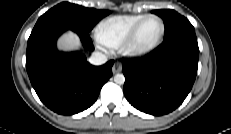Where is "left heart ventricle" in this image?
I'll return each instance as SVG.
<instances>
[{"mask_svg":"<svg viewBox=\"0 0 231 134\" xmlns=\"http://www.w3.org/2000/svg\"><path fill=\"white\" fill-rule=\"evenodd\" d=\"M161 33V23L156 18H151L147 20L136 40V46L139 48H144L153 44Z\"/></svg>","mask_w":231,"mask_h":134,"instance_id":"obj_1","label":"left heart ventricle"}]
</instances>
